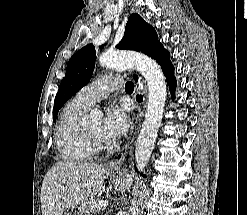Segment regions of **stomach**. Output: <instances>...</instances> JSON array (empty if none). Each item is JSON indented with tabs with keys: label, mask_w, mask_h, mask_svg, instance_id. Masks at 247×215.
I'll return each instance as SVG.
<instances>
[{
	"label": "stomach",
	"mask_w": 247,
	"mask_h": 215,
	"mask_svg": "<svg viewBox=\"0 0 247 215\" xmlns=\"http://www.w3.org/2000/svg\"><path fill=\"white\" fill-rule=\"evenodd\" d=\"M129 177H126L125 179H123V181H118L116 182V187L118 190L124 191L128 185H129ZM64 215H69L68 213H65Z\"/></svg>",
	"instance_id": "stomach-1"
}]
</instances>
